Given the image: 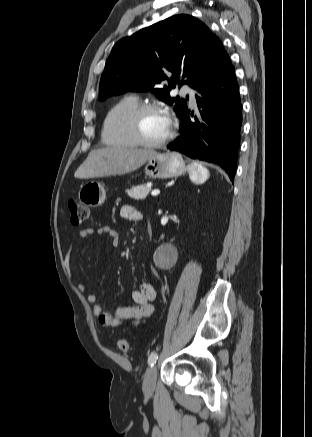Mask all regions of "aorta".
Wrapping results in <instances>:
<instances>
[{"label": "aorta", "instance_id": "1", "mask_svg": "<svg viewBox=\"0 0 312 437\" xmlns=\"http://www.w3.org/2000/svg\"><path fill=\"white\" fill-rule=\"evenodd\" d=\"M172 254L173 252L170 248H163L159 250L158 253L156 254V261L158 263H162L163 261L171 257Z\"/></svg>", "mask_w": 312, "mask_h": 437}]
</instances>
